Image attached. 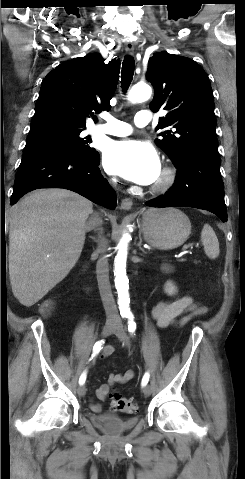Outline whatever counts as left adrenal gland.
<instances>
[{"label": "left adrenal gland", "mask_w": 245, "mask_h": 479, "mask_svg": "<svg viewBox=\"0 0 245 479\" xmlns=\"http://www.w3.org/2000/svg\"><path fill=\"white\" fill-rule=\"evenodd\" d=\"M141 243H142V239H140V242H139V249H140L142 252L146 253V252L144 251V249L141 247Z\"/></svg>", "instance_id": "1"}]
</instances>
